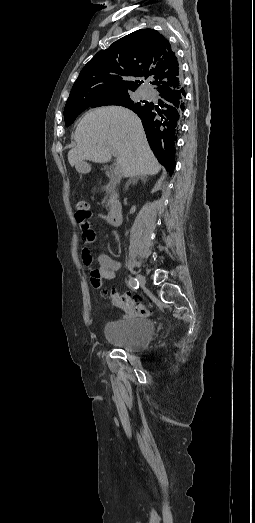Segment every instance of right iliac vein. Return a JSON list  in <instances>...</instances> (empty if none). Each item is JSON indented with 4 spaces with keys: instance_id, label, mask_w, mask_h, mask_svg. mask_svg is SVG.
<instances>
[{
    "instance_id": "obj_1",
    "label": "right iliac vein",
    "mask_w": 255,
    "mask_h": 523,
    "mask_svg": "<svg viewBox=\"0 0 255 523\" xmlns=\"http://www.w3.org/2000/svg\"><path fill=\"white\" fill-rule=\"evenodd\" d=\"M137 280L141 286L145 285V283H146L144 276H142L140 274L137 276Z\"/></svg>"
}]
</instances>
